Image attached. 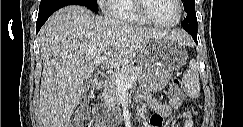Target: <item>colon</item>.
Segmentation results:
<instances>
[{
    "mask_svg": "<svg viewBox=\"0 0 243 127\" xmlns=\"http://www.w3.org/2000/svg\"><path fill=\"white\" fill-rule=\"evenodd\" d=\"M170 94L171 96L173 97H182V94H181V89H180V83H179V80L178 79H174L172 81V84H171V87H170ZM76 122L78 124V126H80L84 120L86 119L87 117V113L84 109L82 108H79L77 111H76Z\"/></svg>",
    "mask_w": 243,
    "mask_h": 127,
    "instance_id": "obj_1",
    "label": "colon"
}]
</instances>
